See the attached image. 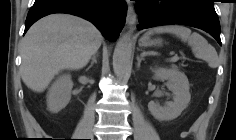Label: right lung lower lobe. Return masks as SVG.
<instances>
[{
	"label": "right lung lower lobe",
	"instance_id": "right-lung-lower-lobe-1",
	"mask_svg": "<svg viewBox=\"0 0 236 140\" xmlns=\"http://www.w3.org/2000/svg\"><path fill=\"white\" fill-rule=\"evenodd\" d=\"M126 12L127 5L121 0H35L25 21V32L46 15L69 13L91 21L106 39L114 41L125 24Z\"/></svg>",
	"mask_w": 236,
	"mask_h": 140
}]
</instances>
